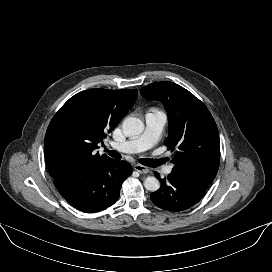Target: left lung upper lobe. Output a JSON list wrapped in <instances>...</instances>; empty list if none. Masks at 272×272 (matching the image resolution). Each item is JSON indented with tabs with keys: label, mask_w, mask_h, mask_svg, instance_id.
Wrapping results in <instances>:
<instances>
[{
	"label": "left lung upper lobe",
	"mask_w": 272,
	"mask_h": 272,
	"mask_svg": "<svg viewBox=\"0 0 272 272\" xmlns=\"http://www.w3.org/2000/svg\"><path fill=\"white\" fill-rule=\"evenodd\" d=\"M143 97L164 104L169 115L167 147L174 151L172 171L209 184L220 162L216 123L207 107L192 93L173 82H157L140 90Z\"/></svg>",
	"instance_id": "1"
}]
</instances>
